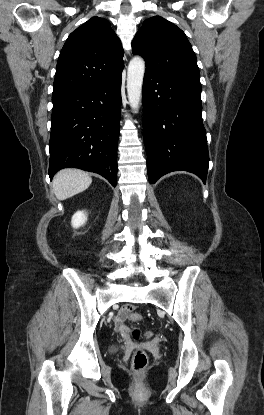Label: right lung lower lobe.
<instances>
[{
	"label": "right lung lower lobe",
	"mask_w": 264,
	"mask_h": 415,
	"mask_svg": "<svg viewBox=\"0 0 264 415\" xmlns=\"http://www.w3.org/2000/svg\"><path fill=\"white\" fill-rule=\"evenodd\" d=\"M49 177L75 167L117 182V145L121 75L74 91L53 95Z\"/></svg>",
	"instance_id": "98d812e1"
}]
</instances>
